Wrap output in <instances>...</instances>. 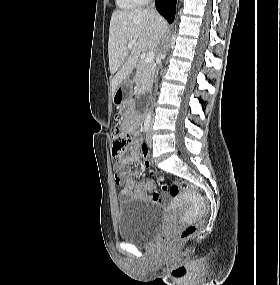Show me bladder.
I'll list each match as a JSON object with an SVG mask.
<instances>
[{
	"mask_svg": "<svg viewBox=\"0 0 280 285\" xmlns=\"http://www.w3.org/2000/svg\"><path fill=\"white\" fill-rule=\"evenodd\" d=\"M162 222V211L145 200L124 201L118 207V235L134 244H149L159 233Z\"/></svg>",
	"mask_w": 280,
	"mask_h": 285,
	"instance_id": "obj_1",
	"label": "bladder"
}]
</instances>
